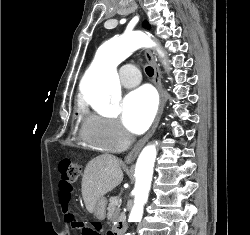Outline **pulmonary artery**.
Segmentation results:
<instances>
[{
	"instance_id": "pulmonary-artery-1",
	"label": "pulmonary artery",
	"mask_w": 250,
	"mask_h": 235,
	"mask_svg": "<svg viewBox=\"0 0 250 235\" xmlns=\"http://www.w3.org/2000/svg\"><path fill=\"white\" fill-rule=\"evenodd\" d=\"M121 84L126 88H132L140 83L141 75L139 69L131 64H126L121 68Z\"/></svg>"
}]
</instances>
